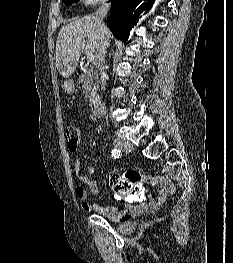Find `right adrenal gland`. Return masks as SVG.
Here are the masks:
<instances>
[{"mask_svg": "<svg viewBox=\"0 0 233 263\" xmlns=\"http://www.w3.org/2000/svg\"><path fill=\"white\" fill-rule=\"evenodd\" d=\"M109 45H110V44L108 43V44H107V46H106V48H108V47H109ZM106 53H107V51L105 52V54H106Z\"/></svg>", "mask_w": 233, "mask_h": 263, "instance_id": "right-adrenal-gland-1", "label": "right adrenal gland"}]
</instances>
